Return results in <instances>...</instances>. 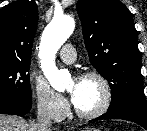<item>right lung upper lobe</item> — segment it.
Masks as SVG:
<instances>
[{
    "label": "right lung upper lobe",
    "instance_id": "cb5924a9",
    "mask_svg": "<svg viewBox=\"0 0 147 131\" xmlns=\"http://www.w3.org/2000/svg\"><path fill=\"white\" fill-rule=\"evenodd\" d=\"M38 24L34 0H18L0 10V59L30 61Z\"/></svg>",
    "mask_w": 147,
    "mask_h": 131
}]
</instances>
